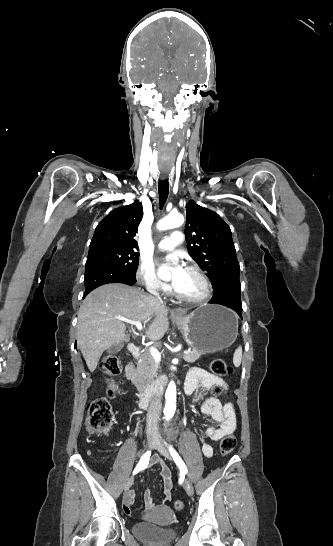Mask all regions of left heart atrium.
I'll list each match as a JSON object with an SVG mask.
<instances>
[{"label": "left heart atrium", "mask_w": 333, "mask_h": 546, "mask_svg": "<svg viewBox=\"0 0 333 546\" xmlns=\"http://www.w3.org/2000/svg\"><path fill=\"white\" fill-rule=\"evenodd\" d=\"M164 261L166 265L170 266L172 271L171 285L178 291L186 279L187 270L176 255H169Z\"/></svg>", "instance_id": "left-heart-atrium-1"}]
</instances>
